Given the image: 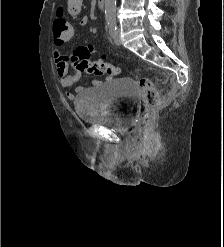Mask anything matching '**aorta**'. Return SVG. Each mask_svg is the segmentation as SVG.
I'll use <instances>...</instances> for the list:
<instances>
[{"label":"aorta","mask_w":224,"mask_h":247,"mask_svg":"<svg viewBox=\"0 0 224 247\" xmlns=\"http://www.w3.org/2000/svg\"><path fill=\"white\" fill-rule=\"evenodd\" d=\"M105 18L106 20H115L116 0H105Z\"/></svg>","instance_id":"1"}]
</instances>
